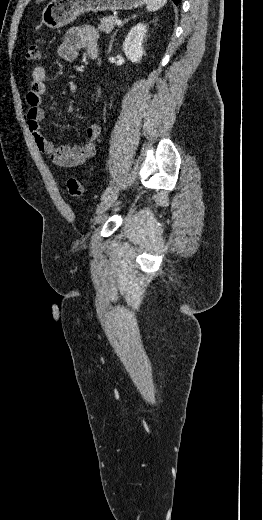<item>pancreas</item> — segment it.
Masks as SVG:
<instances>
[{"label":"pancreas","mask_w":263,"mask_h":520,"mask_svg":"<svg viewBox=\"0 0 263 520\" xmlns=\"http://www.w3.org/2000/svg\"><path fill=\"white\" fill-rule=\"evenodd\" d=\"M118 19L116 15H109L100 19L99 29L106 33L111 32L116 26L115 21Z\"/></svg>","instance_id":"cf45deb5"}]
</instances>
